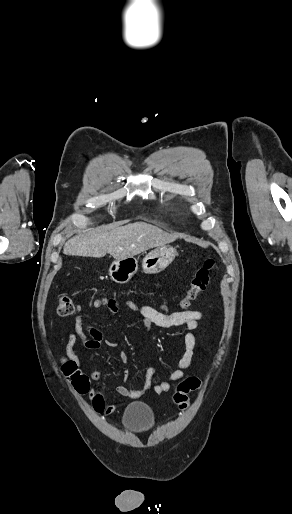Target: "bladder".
<instances>
[{
	"label": "bladder",
	"mask_w": 292,
	"mask_h": 514,
	"mask_svg": "<svg viewBox=\"0 0 292 514\" xmlns=\"http://www.w3.org/2000/svg\"><path fill=\"white\" fill-rule=\"evenodd\" d=\"M155 421L152 409L143 402H133L125 409L122 424L131 432H143L150 429Z\"/></svg>",
	"instance_id": "1"
}]
</instances>
